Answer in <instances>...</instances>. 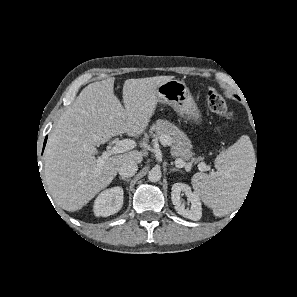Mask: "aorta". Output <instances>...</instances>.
Here are the masks:
<instances>
[{"mask_svg":"<svg viewBox=\"0 0 297 297\" xmlns=\"http://www.w3.org/2000/svg\"><path fill=\"white\" fill-rule=\"evenodd\" d=\"M148 179L151 182H158L161 179V171L160 169L153 168L148 173Z\"/></svg>","mask_w":297,"mask_h":297,"instance_id":"1","label":"aorta"}]
</instances>
